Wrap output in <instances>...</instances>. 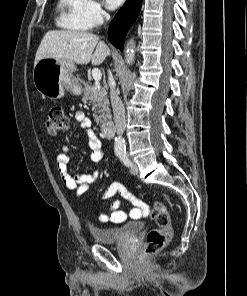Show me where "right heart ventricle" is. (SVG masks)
<instances>
[{
	"instance_id": "obj_1",
	"label": "right heart ventricle",
	"mask_w": 247,
	"mask_h": 296,
	"mask_svg": "<svg viewBox=\"0 0 247 296\" xmlns=\"http://www.w3.org/2000/svg\"><path fill=\"white\" fill-rule=\"evenodd\" d=\"M83 0H58L57 2V25L59 27L74 30L86 31L89 27L81 16Z\"/></svg>"
}]
</instances>
